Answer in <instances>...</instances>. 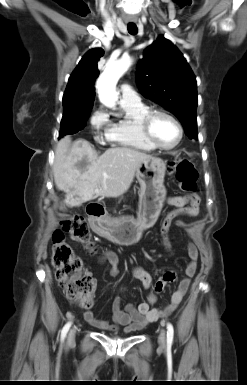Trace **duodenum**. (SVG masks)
I'll return each instance as SVG.
<instances>
[{
	"label": "duodenum",
	"mask_w": 247,
	"mask_h": 385,
	"mask_svg": "<svg viewBox=\"0 0 247 385\" xmlns=\"http://www.w3.org/2000/svg\"><path fill=\"white\" fill-rule=\"evenodd\" d=\"M87 213L92 218L91 227L95 232H101V226L104 224V214L105 210L103 206L97 202H92L88 205Z\"/></svg>",
	"instance_id": "1"
}]
</instances>
